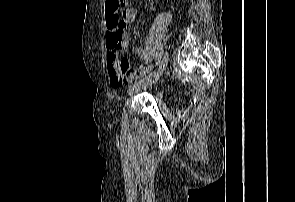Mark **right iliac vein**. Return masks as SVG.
<instances>
[{
	"mask_svg": "<svg viewBox=\"0 0 295 202\" xmlns=\"http://www.w3.org/2000/svg\"><path fill=\"white\" fill-rule=\"evenodd\" d=\"M167 61H168V56H167V54H165L162 58V61H161V64H160L158 70L155 71L152 76H150L149 78H147L143 82L130 87L127 92L128 95H132L136 90H138L140 88H146V87L152 86L154 83H156L159 80L160 76L163 74V72L167 66Z\"/></svg>",
	"mask_w": 295,
	"mask_h": 202,
	"instance_id": "63e3f726",
	"label": "right iliac vein"
}]
</instances>
